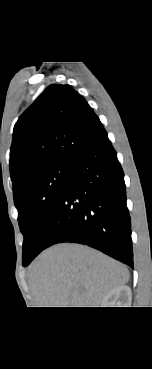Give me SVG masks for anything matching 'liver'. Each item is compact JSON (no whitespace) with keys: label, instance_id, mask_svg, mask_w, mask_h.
I'll list each match as a JSON object with an SVG mask.
<instances>
[{"label":"liver","instance_id":"1","mask_svg":"<svg viewBox=\"0 0 152 369\" xmlns=\"http://www.w3.org/2000/svg\"><path fill=\"white\" fill-rule=\"evenodd\" d=\"M38 307H98L113 289L129 281L128 269L103 253L79 244H58L29 267Z\"/></svg>","mask_w":152,"mask_h":369}]
</instances>
